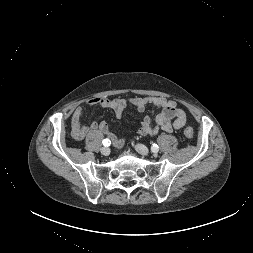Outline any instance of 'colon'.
I'll list each match as a JSON object with an SVG mask.
<instances>
[{"instance_id": "1", "label": "colon", "mask_w": 253, "mask_h": 253, "mask_svg": "<svg viewBox=\"0 0 253 253\" xmlns=\"http://www.w3.org/2000/svg\"><path fill=\"white\" fill-rule=\"evenodd\" d=\"M184 135L188 138V139H192L194 138V130L191 127H186L184 129Z\"/></svg>"}]
</instances>
